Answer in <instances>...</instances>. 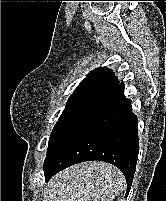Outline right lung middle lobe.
Wrapping results in <instances>:
<instances>
[{"instance_id":"right-lung-middle-lobe-1","label":"right lung middle lobe","mask_w":166,"mask_h":201,"mask_svg":"<svg viewBox=\"0 0 166 201\" xmlns=\"http://www.w3.org/2000/svg\"><path fill=\"white\" fill-rule=\"evenodd\" d=\"M105 98L86 97L68 100L65 109L52 130L44 166L51 160L60 146L104 102Z\"/></svg>"}]
</instances>
